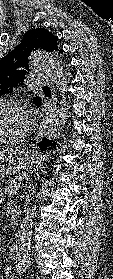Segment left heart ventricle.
<instances>
[{
	"mask_svg": "<svg viewBox=\"0 0 113 279\" xmlns=\"http://www.w3.org/2000/svg\"><path fill=\"white\" fill-rule=\"evenodd\" d=\"M28 126L26 111L11 104L0 105V137H15Z\"/></svg>",
	"mask_w": 113,
	"mask_h": 279,
	"instance_id": "b2bd125f",
	"label": "left heart ventricle"
}]
</instances>
